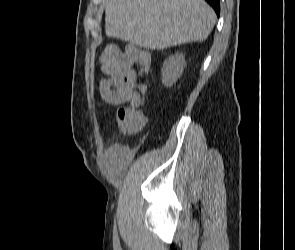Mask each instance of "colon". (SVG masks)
<instances>
[{
	"mask_svg": "<svg viewBox=\"0 0 295 250\" xmlns=\"http://www.w3.org/2000/svg\"><path fill=\"white\" fill-rule=\"evenodd\" d=\"M137 50L135 47L120 50L113 45L106 46L100 56L103 71L109 72L119 61ZM115 121L117 126L125 132L140 131L146 123V117L141 109L140 102L127 103L119 107L115 114Z\"/></svg>",
	"mask_w": 295,
	"mask_h": 250,
	"instance_id": "colon-1",
	"label": "colon"
}]
</instances>
